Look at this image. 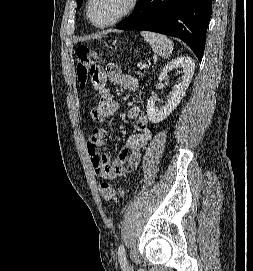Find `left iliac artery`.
<instances>
[{
	"instance_id": "1",
	"label": "left iliac artery",
	"mask_w": 253,
	"mask_h": 271,
	"mask_svg": "<svg viewBox=\"0 0 253 271\" xmlns=\"http://www.w3.org/2000/svg\"><path fill=\"white\" fill-rule=\"evenodd\" d=\"M118 257H119V262L122 265V267H126L127 265L126 253H125L124 245L122 244L118 248Z\"/></svg>"
}]
</instances>
